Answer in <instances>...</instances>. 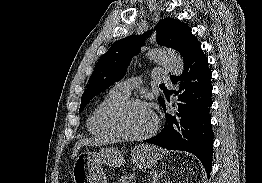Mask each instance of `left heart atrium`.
I'll return each mask as SVG.
<instances>
[{
    "mask_svg": "<svg viewBox=\"0 0 262 183\" xmlns=\"http://www.w3.org/2000/svg\"><path fill=\"white\" fill-rule=\"evenodd\" d=\"M146 106L148 107L149 111L155 116L154 107L151 104H147Z\"/></svg>",
    "mask_w": 262,
    "mask_h": 183,
    "instance_id": "1",
    "label": "left heart atrium"
}]
</instances>
